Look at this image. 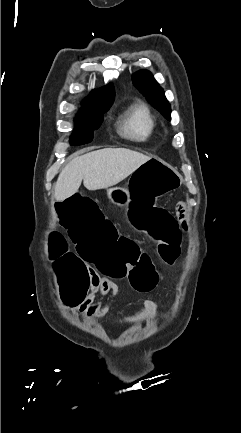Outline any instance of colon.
Listing matches in <instances>:
<instances>
[{
	"instance_id": "colon-1",
	"label": "colon",
	"mask_w": 241,
	"mask_h": 433,
	"mask_svg": "<svg viewBox=\"0 0 241 433\" xmlns=\"http://www.w3.org/2000/svg\"><path fill=\"white\" fill-rule=\"evenodd\" d=\"M136 171L127 186L130 195H137L138 207H126L124 214L134 216L130 220L133 226L154 236L160 258L173 265L180 254L184 231L179 217L166 212V207H155V203L181 185V175L162 157H147L143 164H137ZM52 205L54 220L60 221L61 229H69L68 238L75 243L77 252L76 257L68 251L61 234L52 235L50 258L56 262L59 289L69 305H84L91 291V273L82 259L96 272H107L116 279L129 277L137 291L155 287L157 272L151 257L141 251L133 234H124L114 220H106L101 205L94 204L89 192H72L65 202Z\"/></svg>"
}]
</instances>
